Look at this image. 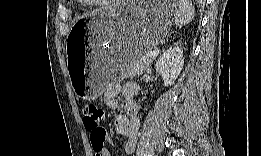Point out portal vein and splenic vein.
I'll list each match as a JSON object with an SVG mask.
<instances>
[{"mask_svg":"<svg viewBox=\"0 0 261 156\" xmlns=\"http://www.w3.org/2000/svg\"><path fill=\"white\" fill-rule=\"evenodd\" d=\"M159 54V49H155L148 54V57L154 59Z\"/></svg>","mask_w":261,"mask_h":156,"instance_id":"1","label":"portal vein and splenic vein"}]
</instances>
